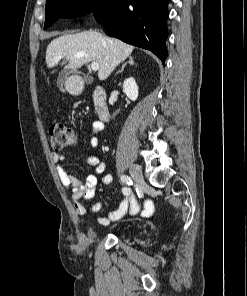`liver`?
<instances>
[{"instance_id":"liver-1","label":"liver","mask_w":247,"mask_h":296,"mask_svg":"<svg viewBox=\"0 0 247 296\" xmlns=\"http://www.w3.org/2000/svg\"><path fill=\"white\" fill-rule=\"evenodd\" d=\"M134 47L116 38H109L97 31L66 34L52 40L46 49V65L56 66L62 58L69 60L67 68H80L89 62L99 64L98 78L105 80Z\"/></svg>"}]
</instances>
